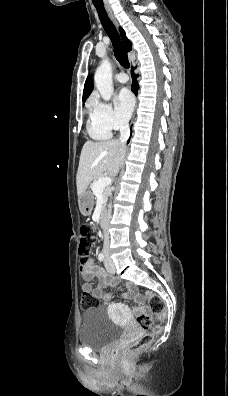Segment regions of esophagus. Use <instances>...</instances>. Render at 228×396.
<instances>
[{"mask_svg": "<svg viewBox=\"0 0 228 396\" xmlns=\"http://www.w3.org/2000/svg\"><path fill=\"white\" fill-rule=\"evenodd\" d=\"M107 11L109 12V15H110L111 19L115 22V24H117V21L114 18V15L112 14L111 10L109 8H107Z\"/></svg>", "mask_w": 228, "mask_h": 396, "instance_id": "1", "label": "esophagus"}]
</instances>
